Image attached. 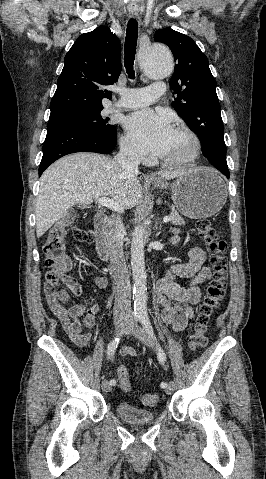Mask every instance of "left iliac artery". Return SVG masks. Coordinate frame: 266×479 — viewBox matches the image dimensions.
I'll list each match as a JSON object with an SVG mask.
<instances>
[{
    "label": "left iliac artery",
    "instance_id": "44dca946",
    "mask_svg": "<svg viewBox=\"0 0 266 479\" xmlns=\"http://www.w3.org/2000/svg\"><path fill=\"white\" fill-rule=\"evenodd\" d=\"M140 322L143 326V328L145 329V331L152 337V339L156 340V337H155V334H154V331H153V328L151 326V323H150V320H149V317H148V314L147 313H142L140 315ZM158 360L161 364H164V362L166 361V355H165V352L164 350L158 345ZM161 387L162 388H166L167 387V383L166 382H162L161 383Z\"/></svg>",
    "mask_w": 266,
    "mask_h": 479
}]
</instances>
